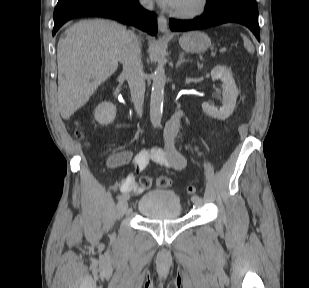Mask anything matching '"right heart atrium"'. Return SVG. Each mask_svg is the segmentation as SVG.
<instances>
[{"mask_svg": "<svg viewBox=\"0 0 309 288\" xmlns=\"http://www.w3.org/2000/svg\"><path fill=\"white\" fill-rule=\"evenodd\" d=\"M140 4L143 6H150L151 5V0H139Z\"/></svg>", "mask_w": 309, "mask_h": 288, "instance_id": "obj_1", "label": "right heart atrium"}]
</instances>
